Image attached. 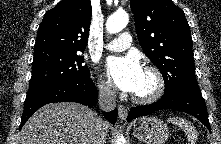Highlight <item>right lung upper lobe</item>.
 <instances>
[{
    "label": "right lung upper lobe",
    "mask_w": 221,
    "mask_h": 144,
    "mask_svg": "<svg viewBox=\"0 0 221 144\" xmlns=\"http://www.w3.org/2000/svg\"><path fill=\"white\" fill-rule=\"evenodd\" d=\"M92 7L90 0H62L47 11L38 29L34 53L83 52L87 45Z\"/></svg>",
    "instance_id": "cb5924a9"
}]
</instances>
